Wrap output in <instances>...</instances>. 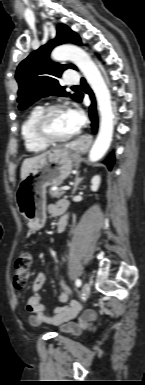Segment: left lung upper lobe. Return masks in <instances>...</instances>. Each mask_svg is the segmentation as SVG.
<instances>
[{"label": "left lung upper lobe", "mask_w": 145, "mask_h": 385, "mask_svg": "<svg viewBox=\"0 0 145 385\" xmlns=\"http://www.w3.org/2000/svg\"><path fill=\"white\" fill-rule=\"evenodd\" d=\"M63 43L81 44L79 36L64 24L57 27V36L38 50L32 52L18 66L16 80L19 84V109H25L41 97L50 95H68L60 86L57 77L68 68L66 65L54 63L49 59L51 50ZM70 68L76 69L70 65ZM71 98L80 102L82 94H73Z\"/></svg>", "instance_id": "5c2ea615"}]
</instances>
